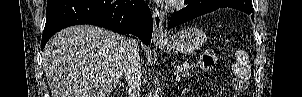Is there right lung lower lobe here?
Masks as SVG:
<instances>
[{
	"label": "right lung lower lobe",
	"instance_id": "right-lung-lower-lobe-1",
	"mask_svg": "<svg viewBox=\"0 0 302 97\" xmlns=\"http://www.w3.org/2000/svg\"><path fill=\"white\" fill-rule=\"evenodd\" d=\"M78 24L131 33L146 45L153 31L152 15L143 0H48L41 50L57 31Z\"/></svg>",
	"mask_w": 302,
	"mask_h": 97
}]
</instances>
